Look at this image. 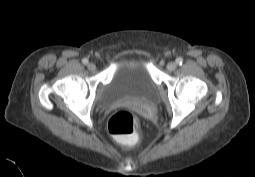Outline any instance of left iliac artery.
Returning <instances> with one entry per match:
<instances>
[{
  "label": "left iliac artery",
  "mask_w": 255,
  "mask_h": 177,
  "mask_svg": "<svg viewBox=\"0 0 255 177\" xmlns=\"http://www.w3.org/2000/svg\"><path fill=\"white\" fill-rule=\"evenodd\" d=\"M176 63H177L178 65H181V64L183 63V59H182L181 57H178V58L176 59Z\"/></svg>",
  "instance_id": "1"
}]
</instances>
